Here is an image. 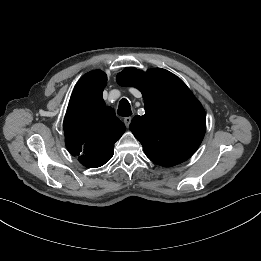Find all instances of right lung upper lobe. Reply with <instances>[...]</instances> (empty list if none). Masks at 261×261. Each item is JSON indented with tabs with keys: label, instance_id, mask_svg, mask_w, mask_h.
<instances>
[{
	"label": "right lung upper lobe",
	"instance_id": "cb5924a9",
	"mask_svg": "<svg viewBox=\"0 0 261 261\" xmlns=\"http://www.w3.org/2000/svg\"><path fill=\"white\" fill-rule=\"evenodd\" d=\"M107 75L99 70L85 74L75 86L63 128L68 151L86 167L104 165L114 153V143L125 125L105 105L102 92Z\"/></svg>",
	"mask_w": 261,
	"mask_h": 261
}]
</instances>
